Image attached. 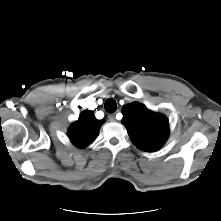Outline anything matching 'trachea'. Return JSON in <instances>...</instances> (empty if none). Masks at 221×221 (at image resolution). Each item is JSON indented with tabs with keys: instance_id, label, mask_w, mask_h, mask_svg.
Returning <instances> with one entry per match:
<instances>
[{
	"instance_id": "1",
	"label": "trachea",
	"mask_w": 221,
	"mask_h": 221,
	"mask_svg": "<svg viewBox=\"0 0 221 221\" xmlns=\"http://www.w3.org/2000/svg\"><path fill=\"white\" fill-rule=\"evenodd\" d=\"M104 108H105L106 112L114 113L117 110V103L114 99L110 98L105 102Z\"/></svg>"
}]
</instances>
